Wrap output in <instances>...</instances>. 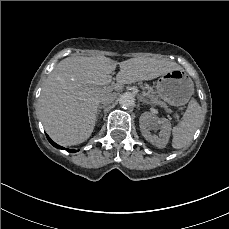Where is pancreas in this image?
Here are the masks:
<instances>
[{
    "label": "pancreas",
    "instance_id": "obj_1",
    "mask_svg": "<svg viewBox=\"0 0 229 229\" xmlns=\"http://www.w3.org/2000/svg\"><path fill=\"white\" fill-rule=\"evenodd\" d=\"M142 95L146 97L145 102L151 105H159L167 109V104L159 99L156 95L155 91L149 85H146L144 88Z\"/></svg>",
    "mask_w": 229,
    "mask_h": 229
}]
</instances>
